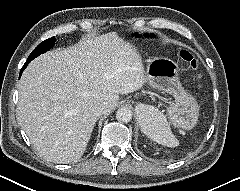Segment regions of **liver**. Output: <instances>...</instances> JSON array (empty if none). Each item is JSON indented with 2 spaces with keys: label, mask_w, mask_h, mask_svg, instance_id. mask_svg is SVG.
I'll list each match as a JSON object with an SVG mask.
<instances>
[{
  "label": "liver",
  "mask_w": 240,
  "mask_h": 191,
  "mask_svg": "<svg viewBox=\"0 0 240 191\" xmlns=\"http://www.w3.org/2000/svg\"><path fill=\"white\" fill-rule=\"evenodd\" d=\"M145 82L133 45L114 32L87 37L30 62L19 82L18 120L42 156L75 162L102 114L95 106L105 103L109 113L119 94L137 91Z\"/></svg>",
  "instance_id": "obj_1"
}]
</instances>
